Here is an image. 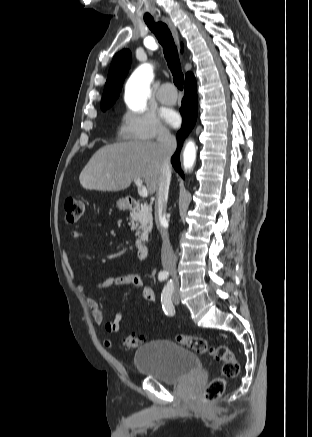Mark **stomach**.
I'll list each match as a JSON object with an SVG mask.
<instances>
[{
  "instance_id": "obj_1",
  "label": "stomach",
  "mask_w": 312,
  "mask_h": 437,
  "mask_svg": "<svg viewBox=\"0 0 312 437\" xmlns=\"http://www.w3.org/2000/svg\"><path fill=\"white\" fill-rule=\"evenodd\" d=\"M117 206H118L119 209L124 210V209H126L128 207V204H127L126 200L120 199L117 202Z\"/></svg>"
}]
</instances>
